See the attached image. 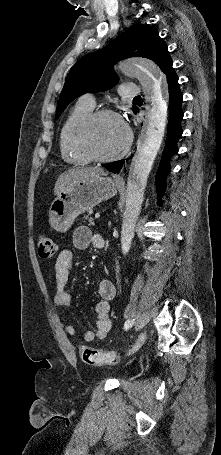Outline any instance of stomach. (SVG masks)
Instances as JSON below:
<instances>
[{
	"instance_id": "0dacf381",
	"label": "stomach",
	"mask_w": 221,
	"mask_h": 455,
	"mask_svg": "<svg viewBox=\"0 0 221 455\" xmlns=\"http://www.w3.org/2000/svg\"><path fill=\"white\" fill-rule=\"evenodd\" d=\"M117 193V184L110 178L98 176L66 187L51 203L49 223L58 232H66L76 217Z\"/></svg>"
}]
</instances>
